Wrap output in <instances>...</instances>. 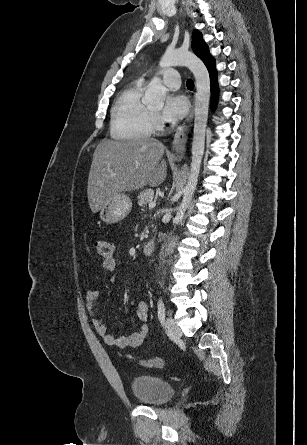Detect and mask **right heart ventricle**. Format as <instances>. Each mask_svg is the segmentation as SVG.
<instances>
[{
    "instance_id": "e07e8e85",
    "label": "right heart ventricle",
    "mask_w": 307,
    "mask_h": 445,
    "mask_svg": "<svg viewBox=\"0 0 307 445\" xmlns=\"http://www.w3.org/2000/svg\"><path fill=\"white\" fill-rule=\"evenodd\" d=\"M144 92V86L137 82L116 99L111 111V136L114 139L149 140L152 120L143 100Z\"/></svg>"
}]
</instances>
